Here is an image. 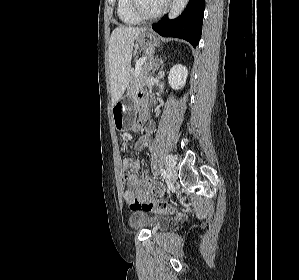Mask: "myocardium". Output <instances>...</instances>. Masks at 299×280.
Instances as JSON below:
<instances>
[{
    "mask_svg": "<svg viewBox=\"0 0 299 280\" xmlns=\"http://www.w3.org/2000/svg\"><path fill=\"white\" fill-rule=\"evenodd\" d=\"M168 3L169 0H165L162 7L157 12L153 14H147L141 9L140 0H130V9L132 13L141 21L154 20L161 17L165 13Z\"/></svg>",
    "mask_w": 299,
    "mask_h": 280,
    "instance_id": "1",
    "label": "myocardium"
}]
</instances>
